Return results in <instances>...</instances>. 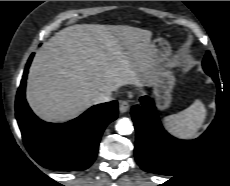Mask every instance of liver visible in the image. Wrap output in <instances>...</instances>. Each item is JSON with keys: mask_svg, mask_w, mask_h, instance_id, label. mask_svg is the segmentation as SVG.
Masks as SVG:
<instances>
[{"mask_svg": "<svg viewBox=\"0 0 230 186\" xmlns=\"http://www.w3.org/2000/svg\"><path fill=\"white\" fill-rule=\"evenodd\" d=\"M152 33L123 25L76 24L36 53L26 98L36 115L61 123L78 117L103 92L144 85L157 66Z\"/></svg>", "mask_w": 230, "mask_h": 186, "instance_id": "1", "label": "liver"}]
</instances>
